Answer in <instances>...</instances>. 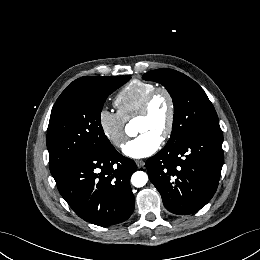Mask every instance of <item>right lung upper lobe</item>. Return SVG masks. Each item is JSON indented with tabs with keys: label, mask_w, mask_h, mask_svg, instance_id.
Wrapping results in <instances>:
<instances>
[{
	"label": "right lung upper lobe",
	"mask_w": 260,
	"mask_h": 260,
	"mask_svg": "<svg viewBox=\"0 0 260 260\" xmlns=\"http://www.w3.org/2000/svg\"><path fill=\"white\" fill-rule=\"evenodd\" d=\"M101 77V76H99ZM97 76H87V77H81L75 81H73L64 91L60 96H64L67 95L68 93L74 91V90H78V89H85L87 87H89V85L96 80L97 78H99Z\"/></svg>",
	"instance_id": "obj_1"
}]
</instances>
